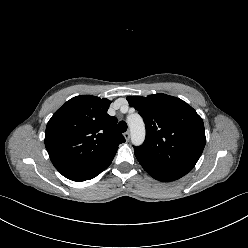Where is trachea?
<instances>
[{
  "mask_svg": "<svg viewBox=\"0 0 248 248\" xmlns=\"http://www.w3.org/2000/svg\"><path fill=\"white\" fill-rule=\"evenodd\" d=\"M118 129H119L120 132H126V130H127L126 122L125 121H120L118 123Z\"/></svg>",
  "mask_w": 248,
  "mask_h": 248,
  "instance_id": "obj_1",
  "label": "trachea"
}]
</instances>
